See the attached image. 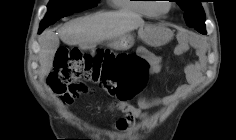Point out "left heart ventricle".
Wrapping results in <instances>:
<instances>
[{"mask_svg": "<svg viewBox=\"0 0 236 140\" xmlns=\"http://www.w3.org/2000/svg\"><path fill=\"white\" fill-rule=\"evenodd\" d=\"M168 6H169L168 3L159 4V8H160L162 11L167 10Z\"/></svg>", "mask_w": 236, "mask_h": 140, "instance_id": "b2bd125f", "label": "left heart ventricle"}]
</instances>
